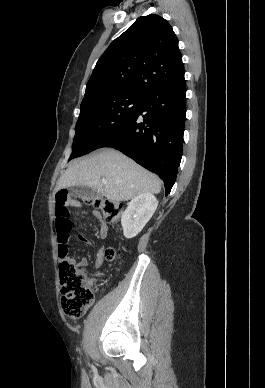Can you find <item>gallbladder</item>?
I'll use <instances>...</instances> for the list:
<instances>
[{"instance_id":"obj_1","label":"gallbladder","mask_w":265,"mask_h":388,"mask_svg":"<svg viewBox=\"0 0 265 388\" xmlns=\"http://www.w3.org/2000/svg\"><path fill=\"white\" fill-rule=\"evenodd\" d=\"M68 190L69 194L75 196V198H86V200L96 198V192H93V188H87V186H71Z\"/></svg>"}]
</instances>
